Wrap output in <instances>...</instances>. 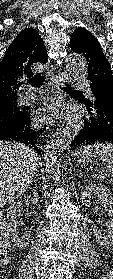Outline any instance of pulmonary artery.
I'll return each mask as SVG.
<instances>
[{
	"mask_svg": "<svg viewBox=\"0 0 113 279\" xmlns=\"http://www.w3.org/2000/svg\"><path fill=\"white\" fill-rule=\"evenodd\" d=\"M82 86L87 89L86 83H83ZM34 97H35V91L33 89H28L24 94H22L19 97V102L28 103V102L32 101L34 99Z\"/></svg>",
	"mask_w": 113,
	"mask_h": 279,
	"instance_id": "pulmonary-artery-1",
	"label": "pulmonary artery"
}]
</instances>
